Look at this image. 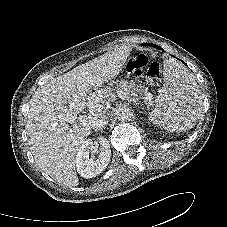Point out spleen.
I'll return each mask as SVG.
<instances>
[{
	"label": "spleen",
	"instance_id": "3e777b00",
	"mask_svg": "<svg viewBox=\"0 0 227 227\" xmlns=\"http://www.w3.org/2000/svg\"><path fill=\"white\" fill-rule=\"evenodd\" d=\"M164 87L149 119L170 131L191 129L201 116L200 90L192 75L173 59L164 60Z\"/></svg>",
	"mask_w": 227,
	"mask_h": 227
}]
</instances>
